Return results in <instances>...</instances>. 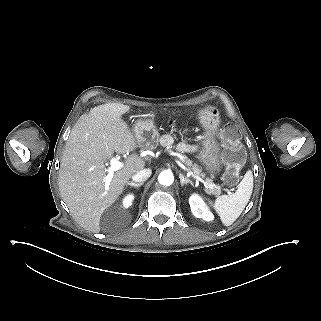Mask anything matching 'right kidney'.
I'll return each instance as SVG.
<instances>
[{
    "instance_id": "right-kidney-1",
    "label": "right kidney",
    "mask_w": 321,
    "mask_h": 321,
    "mask_svg": "<svg viewBox=\"0 0 321 321\" xmlns=\"http://www.w3.org/2000/svg\"><path fill=\"white\" fill-rule=\"evenodd\" d=\"M133 200H134V194L126 195L122 200V206L124 208L130 207L132 205Z\"/></svg>"
}]
</instances>
